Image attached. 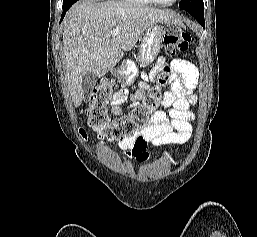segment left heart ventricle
Segmentation results:
<instances>
[{"label": "left heart ventricle", "instance_id": "1", "mask_svg": "<svg viewBox=\"0 0 257 237\" xmlns=\"http://www.w3.org/2000/svg\"><path fill=\"white\" fill-rule=\"evenodd\" d=\"M161 1L169 2V1H172V0H161Z\"/></svg>", "mask_w": 257, "mask_h": 237}]
</instances>
